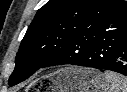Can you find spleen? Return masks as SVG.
I'll use <instances>...</instances> for the list:
<instances>
[{
	"mask_svg": "<svg viewBox=\"0 0 127 92\" xmlns=\"http://www.w3.org/2000/svg\"><path fill=\"white\" fill-rule=\"evenodd\" d=\"M104 76L110 85L106 92H127V77L111 71H105Z\"/></svg>",
	"mask_w": 127,
	"mask_h": 92,
	"instance_id": "spleen-1",
	"label": "spleen"
}]
</instances>
